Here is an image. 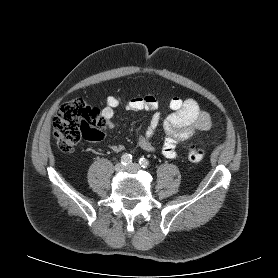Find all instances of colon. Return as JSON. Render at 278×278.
Masks as SVG:
<instances>
[{"label": "colon", "mask_w": 278, "mask_h": 278, "mask_svg": "<svg viewBox=\"0 0 278 278\" xmlns=\"http://www.w3.org/2000/svg\"><path fill=\"white\" fill-rule=\"evenodd\" d=\"M106 122L101 111L82 99L63 104L53 121V136L61 152H70L82 139L97 141L103 137L102 128ZM191 162H200L205 150L191 146L188 150Z\"/></svg>", "instance_id": "obj_1"}]
</instances>
